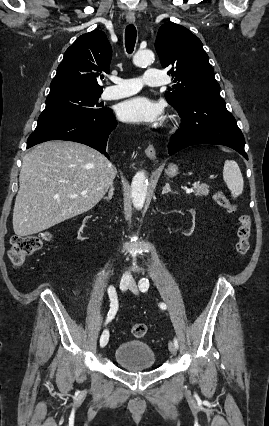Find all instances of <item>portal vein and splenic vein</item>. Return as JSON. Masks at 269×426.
<instances>
[{"instance_id": "portal-vein-and-splenic-vein-1", "label": "portal vein and splenic vein", "mask_w": 269, "mask_h": 426, "mask_svg": "<svg viewBox=\"0 0 269 426\" xmlns=\"http://www.w3.org/2000/svg\"><path fill=\"white\" fill-rule=\"evenodd\" d=\"M194 191V189L193 188H188V189H186V193H191V192H193ZM82 194H86V192H82Z\"/></svg>"}]
</instances>
